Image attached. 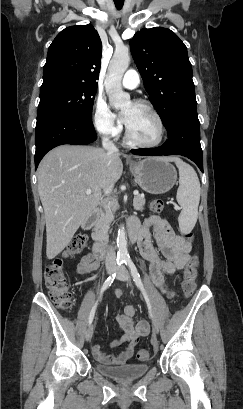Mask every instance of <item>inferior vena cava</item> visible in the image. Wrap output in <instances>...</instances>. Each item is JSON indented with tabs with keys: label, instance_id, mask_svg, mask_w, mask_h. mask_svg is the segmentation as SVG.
I'll return each mask as SVG.
<instances>
[{
	"label": "inferior vena cava",
	"instance_id": "1",
	"mask_svg": "<svg viewBox=\"0 0 243 409\" xmlns=\"http://www.w3.org/2000/svg\"><path fill=\"white\" fill-rule=\"evenodd\" d=\"M102 146L103 148L109 152V153H115L118 151L117 147L115 146V144L110 141V139L108 137H103L102 139ZM113 190V184L109 185L106 189H105V194H110ZM105 263L107 265H113L116 263V253H115V249L113 246H111L109 248V251L106 255V259H105Z\"/></svg>",
	"mask_w": 243,
	"mask_h": 409
}]
</instances>
